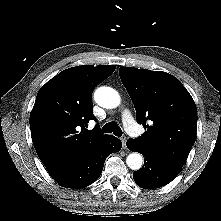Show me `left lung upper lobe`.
Listing matches in <instances>:
<instances>
[{"instance_id":"5c2ea615","label":"left lung upper lobe","mask_w":221,"mask_h":221,"mask_svg":"<svg viewBox=\"0 0 221 221\" xmlns=\"http://www.w3.org/2000/svg\"><path fill=\"white\" fill-rule=\"evenodd\" d=\"M119 75L137 121L146 129L135 140L183 167L196 140L197 109L191 95L176 77L165 72L122 67Z\"/></svg>"}]
</instances>
